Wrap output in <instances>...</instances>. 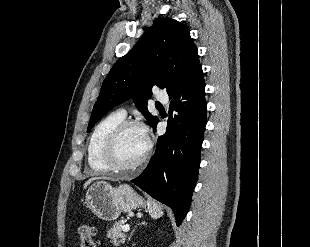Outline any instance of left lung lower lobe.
<instances>
[{"mask_svg": "<svg viewBox=\"0 0 310 247\" xmlns=\"http://www.w3.org/2000/svg\"><path fill=\"white\" fill-rule=\"evenodd\" d=\"M205 82L198 68L181 86L169 93L167 131L135 185L169 206L179 226L185 218L196 185L200 151L206 126ZM158 122V121H157ZM153 128H156V124Z\"/></svg>", "mask_w": 310, "mask_h": 247, "instance_id": "1", "label": "left lung lower lobe"}]
</instances>
